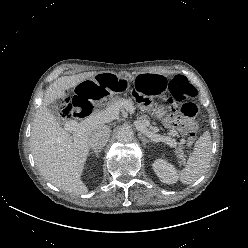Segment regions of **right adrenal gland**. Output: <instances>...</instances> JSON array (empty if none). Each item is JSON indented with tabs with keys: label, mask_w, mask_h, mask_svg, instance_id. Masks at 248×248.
<instances>
[{
	"label": "right adrenal gland",
	"mask_w": 248,
	"mask_h": 248,
	"mask_svg": "<svg viewBox=\"0 0 248 248\" xmlns=\"http://www.w3.org/2000/svg\"><path fill=\"white\" fill-rule=\"evenodd\" d=\"M102 149L99 150H94L93 152L89 153V154H95L97 158H99V153H101Z\"/></svg>",
	"instance_id": "1"
}]
</instances>
